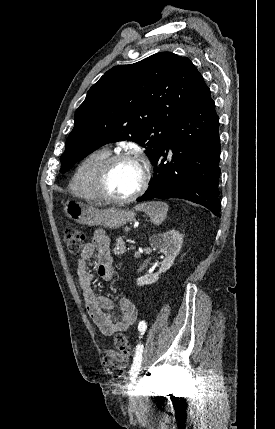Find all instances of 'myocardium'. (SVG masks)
<instances>
[{"label":"myocardium","instance_id":"obj_1","mask_svg":"<svg viewBox=\"0 0 275 429\" xmlns=\"http://www.w3.org/2000/svg\"><path fill=\"white\" fill-rule=\"evenodd\" d=\"M123 160H133L136 161L142 169V179L139 187L134 193L126 197H116L111 195L106 188V182L108 175L113 168V166ZM150 179V166L148 161L139 153L134 151H123L111 154L107 157L102 164L99 166L95 177H94V190L97 197L101 200L111 202V203H129L136 200L140 197L145 190L147 189Z\"/></svg>","mask_w":275,"mask_h":429}]
</instances>
